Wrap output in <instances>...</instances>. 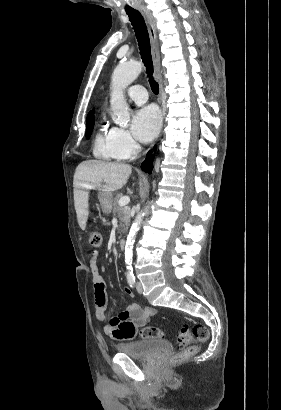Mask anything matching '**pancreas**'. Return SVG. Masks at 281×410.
Segmentation results:
<instances>
[{
  "instance_id": "cf45deb5",
  "label": "pancreas",
  "mask_w": 281,
  "mask_h": 410,
  "mask_svg": "<svg viewBox=\"0 0 281 410\" xmlns=\"http://www.w3.org/2000/svg\"><path fill=\"white\" fill-rule=\"evenodd\" d=\"M121 197H123V194L118 193L113 199V213L118 215L121 232H123L130 223V213L125 206H119L118 202Z\"/></svg>"
}]
</instances>
